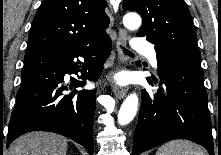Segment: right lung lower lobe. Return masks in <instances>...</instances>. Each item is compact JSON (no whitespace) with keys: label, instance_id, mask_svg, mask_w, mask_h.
<instances>
[{"label":"right lung lower lobe","instance_id":"1","mask_svg":"<svg viewBox=\"0 0 221 155\" xmlns=\"http://www.w3.org/2000/svg\"><path fill=\"white\" fill-rule=\"evenodd\" d=\"M112 48L109 36L82 47H41L27 51L17 104L8 126L7 147L18 136L30 131H49L83 145L93 155V118L96 91H68L67 73L78 75L75 58H85L80 78L95 81ZM80 67V66H79ZM69 88L85 82L72 78ZM3 149V148H2Z\"/></svg>","mask_w":221,"mask_h":155}]
</instances>
